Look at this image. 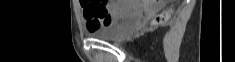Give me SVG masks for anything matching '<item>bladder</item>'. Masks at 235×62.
I'll return each instance as SVG.
<instances>
[{"label": "bladder", "mask_w": 235, "mask_h": 62, "mask_svg": "<svg viewBox=\"0 0 235 62\" xmlns=\"http://www.w3.org/2000/svg\"><path fill=\"white\" fill-rule=\"evenodd\" d=\"M115 13L116 15L113 16L107 24L89 31L88 35L94 39L118 41L131 32L141 18L140 6L132 1L126 2L125 5Z\"/></svg>", "instance_id": "31cf9c89"}]
</instances>
